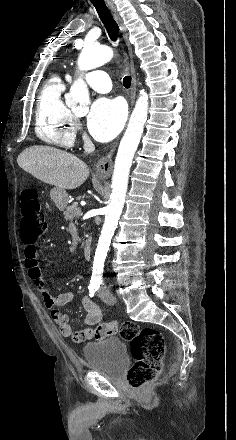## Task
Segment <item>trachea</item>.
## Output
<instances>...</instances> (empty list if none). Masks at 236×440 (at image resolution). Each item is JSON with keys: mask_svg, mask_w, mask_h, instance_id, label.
<instances>
[{"mask_svg": "<svg viewBox=\"0 0 236 440\" xmlns=\"http://www.w3.org/2000/svg\"><path fill=\"white\" fill-rule=\"evenodd\" d=\"M93 6L95 7L101 21L103 22L110 39L115 42L118 38L119 27L113 16L111 15L108 7L104 2L93 3ZM123 85L126 88H129L131 86V76L124 77Z\"/></svg>", "mask_w": 236, "mask_h": 440, "instance_id": "3493384b", "label": "trachea"}]
</instances>
